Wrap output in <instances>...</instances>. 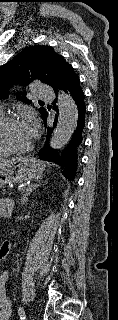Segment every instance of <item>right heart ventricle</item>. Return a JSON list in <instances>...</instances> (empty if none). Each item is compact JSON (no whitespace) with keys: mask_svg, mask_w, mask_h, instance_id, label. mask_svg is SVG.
Listing matches in <instances>:
<instances>
[{"mask_svg":"<svg viewBox=\"0 0 118 320\" xmlns=\"http://www.w3.org/2000/svg\"><path fill=\"white\" fill-rule=\"evenodd\" d=\"M2 117V113L0 111V118ZM8 153L5 152L1 147H0V158L6 156Z\"/></svg>","mask_w":118,"mask_h":320,"instance_id":"obj_1","label":"right heart ventricle"}]
</instances>
